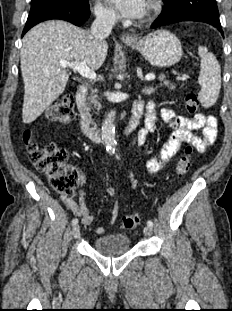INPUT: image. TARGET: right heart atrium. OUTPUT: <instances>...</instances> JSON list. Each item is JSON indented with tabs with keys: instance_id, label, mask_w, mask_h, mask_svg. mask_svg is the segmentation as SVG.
<instances>
[{
	"instance_id": "d8ad5b80",
	"label": "right heart atrium",
	"mask_w": 232,
	"mask_h": 311,
	"mask_svg": "<svg viewBox=\"0 0 232 311\" xmlns=\"http://www.w3.org/2000/svg\"><path fill=\"white\" fill-rule=\"evenodd\" d=\"M94 12L97 20L106 25L114 24L117 19L115 12L100 2L95 3Z\"/></svg>"
}]
</instances>
